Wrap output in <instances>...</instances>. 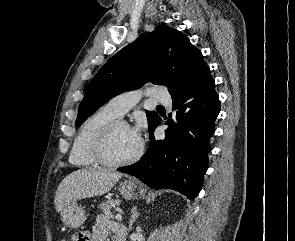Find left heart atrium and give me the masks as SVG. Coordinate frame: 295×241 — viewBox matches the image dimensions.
I'll return each instance as SVG.
<instances>
[{"instance_id": "obj_1", "label": "left heart atrium", "mask_w": 295, "mask_h": 241, "mask_svg": "<svg viewBox=\"0 0 295 241\" xmlns=\"http://www.w3.org/2000/svg\"><path fill=\"white\" fill-rule=\"evenodd\" d=\"M145 129V123L143 121H139L133 128H131V132L133 136L140 141L143 131Z\"/></svg>"}]
</instances>
